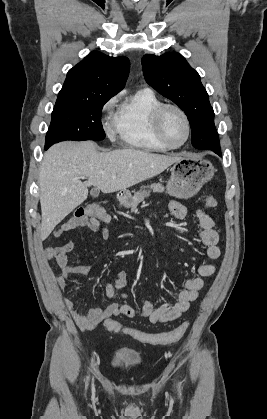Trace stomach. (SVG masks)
Masks as SVG:
<instances>
[{
	"label": "stomach",
	"mask_w": 267,
	"mask_h": 419,
	"mask_svg": "<svg viewBox=\"0 0 267 419\" xmlns=\"http://www.w3.org/2000/svg\"><path fill=\"white\" fill-rule=\"evenodd\" d=\"M215 173L213 164L200 156L181 157L171 168V177L167 182V192L176 198H190L210 181ZM149 192H147V196ZM120 204L130 207L132 195L128 190L118 194Z\"/></svg>",
	"instance_id": "0dacf381"
}]
</instances>
